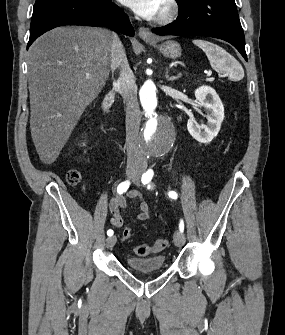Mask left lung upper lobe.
Masks as SVG:
<instances>
[{
    "label": "left lung upper lobe",
    "mask_w": 285,
    "mask_h": 335,
    "mask_svg": "<svg viewBox=\"0 0 285 335\" xmlns=\"http://www.w3.org/2000/svg\"><path fill=\"white\" fill-rule=\"evenodd\" d=\"M178 3L181 2V1H185V0H176Z\"/></svg>",
    "instance_id": "left-lung-upper-lobe-1"
}]
</instances>
